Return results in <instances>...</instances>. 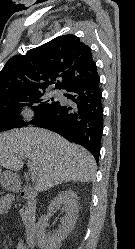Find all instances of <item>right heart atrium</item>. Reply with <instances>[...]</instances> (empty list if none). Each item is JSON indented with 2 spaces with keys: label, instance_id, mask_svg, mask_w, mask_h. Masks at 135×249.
I'll use <instances>...</instances> for the list:
<instances>
[{
  "label": "right heart atrium",
  "instance_id": "d8ad5b80",
  "mask_svg": "<svg viewBox=\"0 0 135 249\" xmlns=\"http://www.w3.org/2000/svg\"><path fill=\"white\" fill-rule=\"evenodd\" d=\"M19 114H20L21 119L24 121H29L34 116V113L30 108H22Z\"/></svg>",
  "mask_w": 135,
  "mask_h": 249
}]
</instances>
